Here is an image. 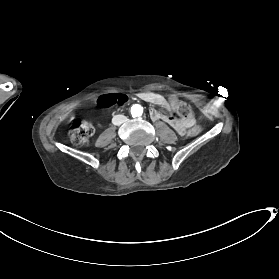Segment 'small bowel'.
Listing matches in <instances>:
<instances>
[{
  "label": "small bowel",
  "instance_id": "small-bowel-1",
  "mask_svg": "<svg viewBox=\"0 0 279 279\" xmlns=\"http://www.w3.org/2000/svg\"><path fill=\"white\" fill-rule=\"evenodd\" d=\"M140 97L147 102L166 109L167 111L174 110L179 102L175 96H170L167 99L164 96L153 92L141 93ZM150 116L153 120H163L169 124L179 135H184L186 131L194 125L193 119H178L172 115L161 114L156 109H151Z\"/></svg>",
  "mask_w": 279,
  "mask_h": 279
}]
</instances>
